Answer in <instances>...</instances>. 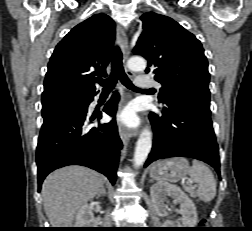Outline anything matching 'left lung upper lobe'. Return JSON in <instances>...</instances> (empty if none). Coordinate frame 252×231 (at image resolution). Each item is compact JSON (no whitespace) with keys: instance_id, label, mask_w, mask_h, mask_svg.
<instances>
[{"instance_id":"5c2ea615","label":"left lung upper lobe","mask_w":252,"mask_h":231,"mask_svg":"<svg viewBox=\"0 0 252 231\" xmlns=\"http://www.w3.org/2000/svg\"><path fill=\"white\" fill-rule=\"evenodd\" d=\"M140 19L143 31L133 53L147 59L146 73H154L162 85L159 100L185 89L210 95L208 62L200 41L167 16L148 12Z\"/></svg>"}]
</instances>
